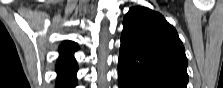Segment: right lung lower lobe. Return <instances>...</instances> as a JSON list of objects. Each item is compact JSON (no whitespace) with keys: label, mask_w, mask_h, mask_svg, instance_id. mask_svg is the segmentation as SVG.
Here are the masks:
<instances>
[{"label":"right lung lower lobe","mask_w":223,"mask_h":88,"mask_svg":"<svg viewBox=\"0 0 223 88\" xmlns=\"http://www.w3.org/2000/svg\"><path fill=\"white\" fill-rule=\"evenodd\" d=\"M77 80L75 78L63 79L58 74L57 84L58 88H73L76 85Z\"/></svg>","instance_id":"right-lung-lower-lobe-1"}]
</instances>
